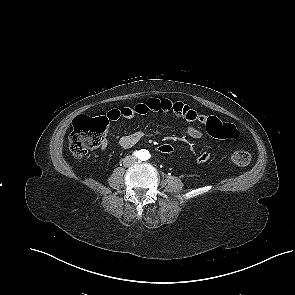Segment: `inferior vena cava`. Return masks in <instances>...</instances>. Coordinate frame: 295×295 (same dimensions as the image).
Masks as SVG:
<instances>
[{
    "instance_id": "602c4592",
    "label": "inferior vena cava",
    "mask_w": 295,
    "mask_h": 295,
    "mask_svg": "<svg viewBox=\"0 0 295 295\" xmlns=\"http://www.w3.org/2000/svg\"><path fill=\"white\" fill-rule=\"evenodd\" d=\"M136 158L133 156H127L126 158H124L123 160V164L125 167H129L131 164L136 162Z\"/></svg>"
}]
</instances>
